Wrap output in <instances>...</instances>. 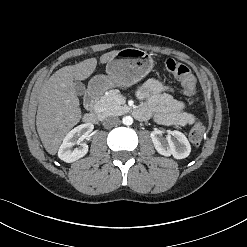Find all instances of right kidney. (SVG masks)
<instances>
[{
  "instance_id": "1",
  "label": "right kidney",
  "mask_w": 247,
  "mask_h": 247,
  "mask_svg": "<svg viewBox=\"0 0 247 247\" xmlns=\"http://www.w3.org/2000/svg\"><path fill=\"white\" fill-rule=\"evenodd\" d=\"M93 129L94 125L92 123L81 124L72 129L64 138L58 151V157L67 163L84 157L88 152V145L80 142L87 139ZM76 144L79 146L74 147Z\"/></svg>"
}]
</instances>
